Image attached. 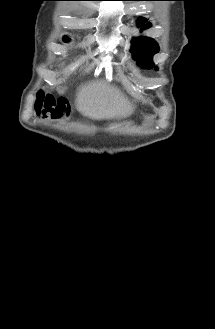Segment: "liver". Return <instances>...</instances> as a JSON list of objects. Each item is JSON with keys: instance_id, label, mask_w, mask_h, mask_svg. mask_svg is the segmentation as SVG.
Wrapping results in <instances>:
<instances>
[{"instance_id": "1", "label": "liver", "mask_w": 215, "mask_h": 329, "mask_svg": "<svg viewBox=\"0 0 215 329\" xmlns=\"http://www.w3.org/2000/svg\"><path fill=\"white\" fill-rule=\"evenodd\" d=\"M76 109L94 120L125 118L134 112V105L115 85L103 79L81 85L76 94Z\"/></svg>"}]
</instances>
